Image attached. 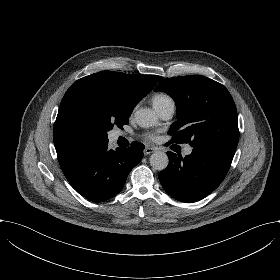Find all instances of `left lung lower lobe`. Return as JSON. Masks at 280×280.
Listing matches in <instances>:
<instances>
[{
  "instance_id": "left-lung-lower-lobe-1",
  "label": "left lung lower lobe",
  "mask_w": 280,
  "mask_h": 280,
  "mask_svg": "<svg viewBox=\"0 0 280 280\" xmlns=\"http://www.w3.org/2000/svg\"><path fill=\"white\" fill-rule=\"evenodd\" d=\"M168 167L159 173L165 191L178 201L191 203L213 192L225 178L235 150L218 147L194 148L182 158L167 152Z\"/></svg>"
}]
</instances>
